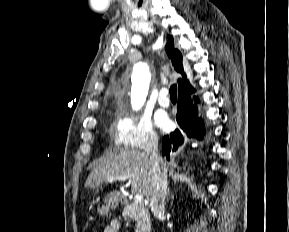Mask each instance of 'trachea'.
Instances as JSON below:
<instances>
[{"label":"trachea","instance_id":"obj_1","mask_svg":"<svg viewBox=\"0 0 289 232\" xmlns=\"http://www.w3.org/2000/svg\"><path fill=\"white\" fill-rule=\"evenodd\" d=\"M170 97L173 99H176L177 98V86L174 84L170 87Z\"/></svg>","mask_w":289,"mask_h":232}]
</instances>
